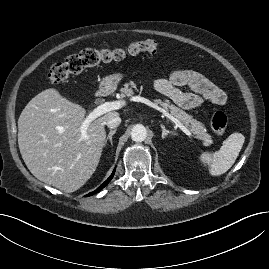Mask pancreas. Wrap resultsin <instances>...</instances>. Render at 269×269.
<instances>
[{
    "instance_id": "obj_1",
    "label": "pancreas",
    "mask_w": 269,
    "mask_h": 269,
    "mask_svg": "<svg viewBox=\"0 0 269 269\" xmlns=\"http://www.w3.org/2000/svg\"><path fill=\"white\" fill-rule=\"evenodd\" d=\"M135 91H138V89L135 83L130 81L125 83L124 87L121 88V96H132L134 95ZM154 103L161 105L165 110L169 111L171 116L184 124L185 127L197 138L203 140L204 142L211 139V136L207 133V130L202 122L197 121L192 115H189L177 106H174L169 100L162 101L161 99H155Z\"/></svg>"
}]
</instances>
